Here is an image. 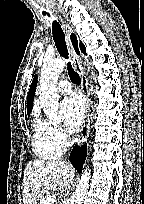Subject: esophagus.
I'll return each mask as SVG.
<instances>
[{
	"label": "esophagus",
	"instance_id": "obj_1",
	"mask_svg": "<svg viewBox=\"0 0 144 204\" xmlns=\"http://www.w3.org/2000/svg\"><path fill=\"white\" fill-rule=\"evenodd\" d=\"M61 22H62L63 30L65 32V39L71 56L72 63L81 78V91L83 93L85 104H86L85 117L82 123L81 132L79 135V143L83 144L87 140L88 133H89V125H90V93H89L88 79L82 68L81 59L77 55L71 43L70 36L73 31L72 27L68 23H66L63 19H61Z\"/></svg>",
	"mask_w": 144,
	"mask_h": 204
}]
</instances>
